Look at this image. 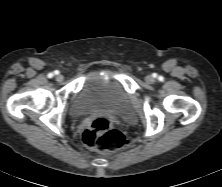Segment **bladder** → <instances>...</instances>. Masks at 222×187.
I'll list each match as a JSON object with an SVG mask.
<instances>
[{"instance_id": "obj_1", "label": "bladder", "mask_w": 222, "mask_h": 187, "mask_svg": "<svg viewBox=\"0 0 222 187\" xmlns=\"http://www.w3.org/2000/svg\"><path fill=\"white\" fill-rule=\"evenodd\" d=\"M104 111L122 119L133 115L132 102L124 87L113 77L90 75L73 99L69 112L73 118Z\"/></svg>"}]
</instances>
